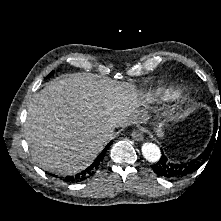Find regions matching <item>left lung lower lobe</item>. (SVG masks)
I'll return each instance as SVG.
<instances>
[{
    "label": "left lung lower lobe",
    "mask_w": 221,
    "mask_h": 221,
    "mask_svg": "<svg viewBox=\"0 0 221 221\" xmlns=\"http://www.w3.org/2000/svg\"><path fill=\"white\" fill-rule=\"evenodd\" d=\"M212 142L213 141L210 142L206 150L198 157L185 162H173L162 152V156L159 161L153 164L151 168L160 177L168 179L185 177L194 172L199 166H201L203 161L206 159L208 153L210 152Z\"/></svg>",
    "instance_id": "left-lung-lower-lobe-1"
}]
</instances>
